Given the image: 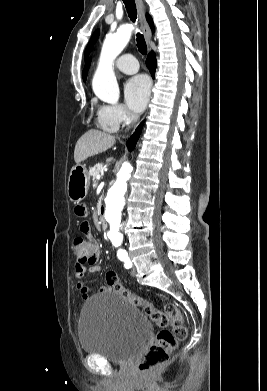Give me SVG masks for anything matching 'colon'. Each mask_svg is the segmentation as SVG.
Returning <instances> with one entry per match:
<instances>
[{
  "label": "colon",
  "instance_id": "1",
  "mask_svg": "<svg viewBox=\"0 0 267 391\" xmlns=\"http://www.w3.org/2000/svg\"><path fill=\"white\" fill-rule=\"evenodd\" d=\"M72 250L76 257V265L89 266L97 260L98 249L92 238H75ZM106 283L108 288L141 307L149 319L160 328L154 343L145 352L139 364L140 372L147 376L164 365L178 343L186 337L187 328L183 316L174 304H166L163 310H159L149 300L126 289L119 282L115 271L107 272ZM168 325L171 327L170 330L166 328Z\"/></svg>",
  "mask_w": 267,
  "mask_h": 391
}]
</instances>
